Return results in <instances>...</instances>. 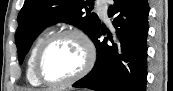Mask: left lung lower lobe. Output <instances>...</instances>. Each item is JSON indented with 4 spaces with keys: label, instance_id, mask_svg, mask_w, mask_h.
<instances>
[{
    "label": "left lung lower lobe",
    "instance_id": "0a47b994",
    "mask_svg": "<svg viewBox=\"0 0 173 91\" xmlns=\"http://www.w3.org/2000/svg\"><path fill=\"white\" fill-rule=\"evenodd\" d=\"M108 16L113 29L98 25L92 40L97 61L92 71L73 87L97 91H145L147 80V0H113ZM107 38L100 41L102 34Z\"/></svg>",
    "mask_w": 173,
    "mask_h": 91
}]
</instances>
